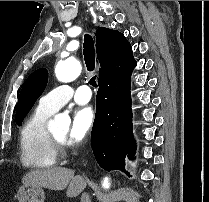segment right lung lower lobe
I'll use <instances>...</instances> for the list:
<instances>
[{
	"mask_svg": "<svg viewBox=\"0 0 209 202\" xmlns=\"http://www.w3.org/2000/svg\"><path fill=\"white\" fill-rule=\"evenodd\" d=\"M95 158L107 171L124 169V158L133 159L135 141L132 135L130 82L116 87L99 85L96 115L91 133ZM130 177V173L126 172Z\"/></svg>",
	"mask_w": 209,
	"mask_h": 202,
	"instance_id": "obj_1",
	"label": "right lung lower lobe"
}]
</instances>
